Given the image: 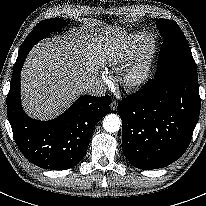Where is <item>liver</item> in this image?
<instances>
[{"instance_id": "obj_1", "label": "liver", "mask_w": 206, "mask_h": 206, "mask_svg": "<svg viewBox=\"0 0 206 206\" xmlns=\"http://www.w3.org/2000/svg\"><path fill=\"white\" fill-rule=\"evenodd\" d=\"M114 30L45 39L30 51L21 72L22 105L37 119L59 115L97 80L99 67L122 51Z\"/></svg>"}]
</instances>
